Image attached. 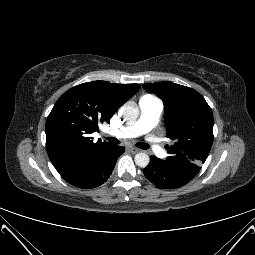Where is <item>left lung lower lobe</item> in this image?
<instances>
[{"instance_id":"1","label":"left lung lower lobe","mask_w":255,"mask_h":255,"mask_svg":"<svg viewBox=\"0 0 255 255\" xmlns=\"http://www.w3.org/2000/svg\"><path fill=\"white\" fill-rule=\"evenodd\" d=\"M143 173L149 181L161 189L179 188L195 177L191 172H184L164 164L156 156L150 157V163Z\"/></svg>"}]
</instances>
